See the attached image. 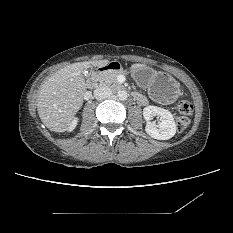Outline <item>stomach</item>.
<instances>
[{
  "instance_id": "stomach-1",
  "label": "stomach",
  "mask_w": 233,
  "mask_h": 233,
  "mask_svg": "<svg viewBox=\"0 0 233 233\" xmlns=\"http://www.w3.org/2000/svg\"><path fill=\"white\" fill-rule=\"evenodd\" d=\"M137 83L147 88L149 95L161 103H172L180 96L179 83L168 73L156 71L148 66L131 67Z\"/></svg>"
}]
</instances>
